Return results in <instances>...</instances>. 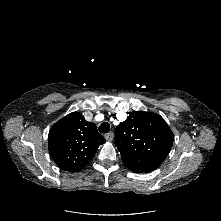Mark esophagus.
I'll use <instances>...</instances> for the list:
<instances>
[{"instance_id": "obj_1", "label": "esophagus", "mask_w": 221, "mask_h": 221, "mask_svg": "<svg viewBox=\"0 0 221 221\" xmlns=\"http://www.w3.org/2000/svg\"><path fill=\"white\" fill-rule=\"evenodd\" d=\"M113 137H114L113 132H109V133L105 134V139L107 141H112Z\"/></svg>"}]
</instances>
